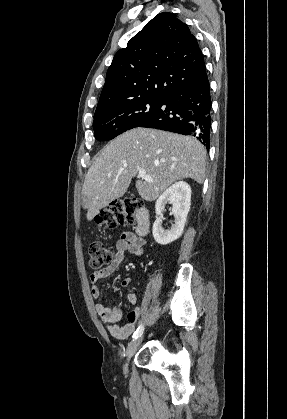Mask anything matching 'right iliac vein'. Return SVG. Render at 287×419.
<instances>
[{
    "mask_svg": "<svg viewBox=\"0 0 287 419\" xmlns=\"http://www.w3.org/2000/svg\"><path fill=\"white\" fill-rule=\"evenodd\" d=\"M142 339H143V337L140 336L138 339L133 340L128 345V348H127V351H126V360H125V364H124V367H123L124 372H127L128 362L131 359V357L135 354V352H136L138 346L140 345Z\"/></svg>",
    "mask_w": 287,
    "mask_h": 419,
    "instance_id": "1",
    "label": "right iliac vein"
}]
</instances>
